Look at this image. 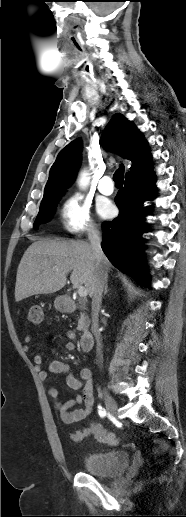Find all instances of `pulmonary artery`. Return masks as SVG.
<instances>
[{"label":"pulmonary artery","instance_id":"1","mask_svg":"<svg viewBox=\"0 0 186 517\" xmlns=\"http://www.w3.org/2000/svg\"><path fill=\"white\" fill-rule=\"evenodd\" d=\"M98 189L104 195H111L113 193L114 187L109 175H105L100 179Z\"/></svg>","mask_w":186,"mask_h":517}]
</instances>
